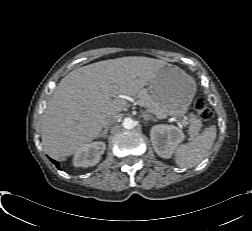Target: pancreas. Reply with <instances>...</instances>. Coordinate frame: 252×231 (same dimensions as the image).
I'll list each match as a JSON object with an SVG mask.
<instances>
[{
  "instance_id": "obj_1",
  "label": "pancreas",
  "mask_w": 252,
  "mask_h": 231,
  "mask_svg": "<svg viewBox=\"0 0 252 231\" xmlns=\"http://www.w3.org/2000/svg\"><path fill=\"white\" fill-rule=\"evenodd\" d=\"M137 102L139 105L146 107L150 113L155 114L158 117H164L161 114L160 108L156 105L153 97L148 93L147 90L142 89L138 93ZM190 121H191V125L189 127V133L191 136H195L200 131L202 127V122L196 116H192Z\"/></svg>"
}]
</instances>
